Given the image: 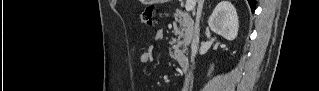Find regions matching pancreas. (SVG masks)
<instances>
[{
    "label": "pancreas",
    "mask_w": 319,
    "mask_h": 91,
    "mask_svg": "<svg viewBox=\"0 0 319 91\" xmlns=\"http://www.w3.org/2000/svg\"><path fill=\"white\" fill-rule=\"evenodd\" d=\"M175 23L179 24V28L175 29L177 38L173 39V47L170 49V57L179 61L183 58L184 53L187 51L193 36V22L182 10H177L174 14Z\"/></svg>",
    "instance_id": "cf45deb5"
}]
</instances>
